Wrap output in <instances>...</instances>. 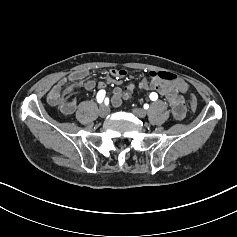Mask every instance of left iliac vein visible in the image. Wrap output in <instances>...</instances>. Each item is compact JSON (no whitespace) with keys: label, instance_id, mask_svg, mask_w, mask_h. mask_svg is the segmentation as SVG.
Here are the masks:
<instances>
[{"label":"left iliac vein","instance_id":"4c4485c4","mask_svg":"<svg viewBox=\"0 0 237 237\" xmlns=\"http://www.w3.org/2000/svg\"><path fill=\"white\" fill-rule=\"evenodd\" d=\"M133 113L139 117V118H143L146 116L147 114V111L145 109H142V108H135L133 109Z\"/></svg>","mask_w":237,"mask_h":237}]
</instances>
